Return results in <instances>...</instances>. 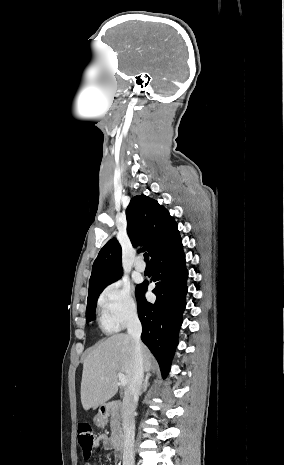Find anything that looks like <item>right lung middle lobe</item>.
I'll use <instances>...</instances> for the list:
<instances>
[{
	"label": "right lung middle lobe",
	"instance_id": "1",
	"mask_svg": "<svg viewBox=\"0 0 284 465\" xmlns=\"http://www.w3.org/2000/svg\"><path fill=\"white\" fill-rule=\"evenodd\" d=\"M104 288L88 296L87 309H86V321L87 322L95 319V308H96L97 299H98L99 294L102 292Z\"/></svg>",
	"mask_w": 284,
	"mask_h": 465
}]
</instances>
